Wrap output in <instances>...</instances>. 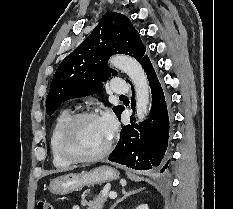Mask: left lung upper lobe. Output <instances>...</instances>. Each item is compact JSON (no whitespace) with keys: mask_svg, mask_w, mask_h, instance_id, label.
I'll list each match as a JSON object with an SVG mask.
<instances>
[{"mask_svg":"<svg viewBox=\"0 0 233 209\" xmlns=\"http://www.w3.org/2000/svg\"><path fill=\"white\" fill-rule=\"evenodd\" d=\"M145 51L131 21L123 14L107 12L83 43L58 66L47 96V114L52 115L66 100L100 90L110 74L117 75L107 65L110 56L126 54L141 62ZM122 109L113 107L117 116Z\"/></svg>","mask_w":233,"mask_h":209,"instance_id":"1","label":"left lung upper lobe"}]
</instances>
